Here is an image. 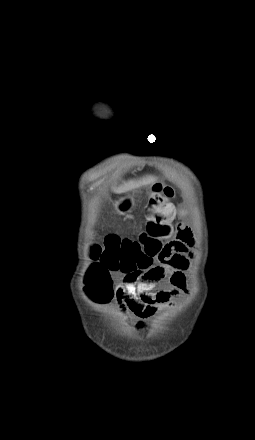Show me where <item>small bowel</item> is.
Segmentation results:
<instances>
[{"label": "small bowel", "mask_w": 255, "mask_h": 440, "mask_svg": "<svg viewBox=\"0 0 255 440\" xmlns=\"http://www.w3.org/2000/svg\"><path fill=\"white\" fill-rule=\"evenodd\" d=\"M166 253L158 264L127 273L115 287L110 285L108 301L114 299L123 314L136 317V328L139 330L145 327L146 321L152 318L160 307H171L177 297L190 292L185 271L195 253L189 228H178L175 239L167 243ZM167 277L170 287L156 290Z\"/></svg>", "instance_id": "small-bowel-1"}]
</instances>
